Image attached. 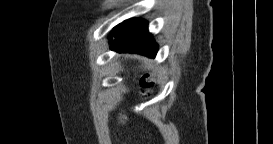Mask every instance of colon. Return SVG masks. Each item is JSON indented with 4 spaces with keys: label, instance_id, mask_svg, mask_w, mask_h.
I'll list each match as a JSON object with an SVG mask.
<instances>
[{
    "label": "colon",
    "instance_id": "obj_1",
    "mask_svg": "<svg viewBox=\"0 0 273 144\" xmlns=\"http://www.w3.org/2000/svg\"><path fill=\"white\" fill-rule=\"evenodd\" d=\"M144 87L146 88V89H148L149 87H150V83L148 82V81H146L145 83H144ZM148 91H146L145 92V96H148Z\"/></svg>",
    "mask_w": 273,
    "mask_h": 144
}]
</instances>
